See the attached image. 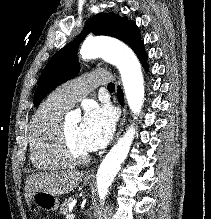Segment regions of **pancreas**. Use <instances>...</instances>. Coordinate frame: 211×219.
<instances>
[{
	"instance_id": "pancreas-1",
	"label": "pancreas",
	"mask_w": 211,
	"mask_h": 219,
	"mask_svg": "<svg viewBox=\"0 0 211 219\" xmlns=\"http://www.w3.org/2000/svg\"><path fill=\"white\" fill-rule=\"evenodd\" d=\"M72 201H73V198L71 197L64 201V203L61 205V208H60V214H63L65 216L68 215V209Z\"/></svg>"
}]
</instances>
